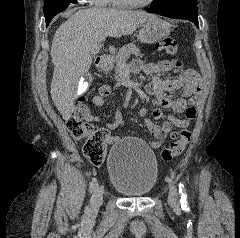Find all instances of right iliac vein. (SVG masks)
<instances>
[{
  "mask_svg": "<svg viewBox=\"0 0 240 238\" xmlns=\"http://www.w3.org/2000/svg\"><path fill=\"white\" fill-rule=\"evenodd\" d=\"M103 201V188L101 186H97L93 192L91 201H90V208L89 213L94 215L98 212L101 204Z\"/></svg>",
  "mask_w": 240,
  "mask_h": 238,
  "instance_id": "obj_1",
  "label": "right iliac vein"
}]
</instances>
